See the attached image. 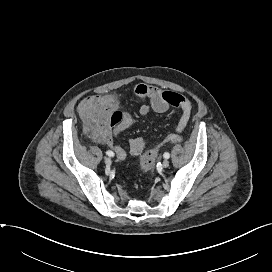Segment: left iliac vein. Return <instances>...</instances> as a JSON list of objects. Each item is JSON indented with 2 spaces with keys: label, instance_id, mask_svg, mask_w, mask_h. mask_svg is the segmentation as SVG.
<instances>
[{
  "label": "left iliac vein",
  "instance_id": "left-iliac-vein-1",
  "mask_svg": "<svg viewBox=\"0 0 272 272\" xmlns=\"http://www.w3.org/2000/svg\"><path fill=\"white\" fill-rule=\"evenodd\" d=\"M162 166H163L164 168H167V167L169 166V161H168L167 159H165V160L163 161V163H162Z\"/></svg>",
  "mask_w": 272,
  "mask_h": 272
}]
</instances>
